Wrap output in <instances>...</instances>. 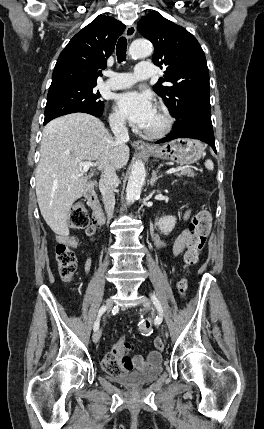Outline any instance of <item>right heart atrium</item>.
Here are the masks:
<instances>
[{
	"label": "right heart atrium",
	"mask_w": 264,
	"mask_h": 429,
	"mask_svg": "<svg viewBox=\"0 0 264 429\" xmlns=\"http://www.w3.org/2000/svg\"><path fill=\"white\" fill-rule=\"evenodd\" d=\"M111 127L115 130H123L125 129V120L116 112L110 114L109 117Z\"/></svg>",
	"instance_id": "right-heart-atrium-1"
}]
</instances>
